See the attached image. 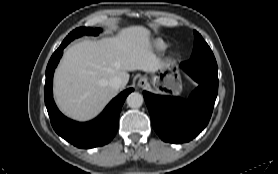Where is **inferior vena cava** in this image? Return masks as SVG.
<instances>
[{"instance_id": "602c4592", "label": "inferior vena cava", "mask_w": 278, "mask_h": 174, "mask_svg": "<svg viewBox=\"0 0 278 174\" xmlns=\"http://www.w3.org/2000/svg\"><path fill=\"white\" fill-rule=\"evenodd\" d=\"M109 85L115 89H119L122 87L123 83L121 78L119 77H113L110 81H109Z\"/></svg>"}]
</instances>
